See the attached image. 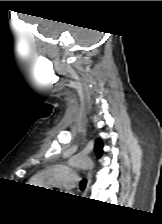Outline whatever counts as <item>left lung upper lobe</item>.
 <instances>
[{
    "mask_svg": "<svg viewBox=\"0 0 162 224\" xmlns=\"http://www.w3.org/2000/svg\"><path fill=\"white\" fill-rule=\"evenodd\" d=\"M103 143L101 139H97L96 140V144H95V152L97 154V157L100 158L103 152Z\"/></svg>",
    "mask_w": 162,
    "mask_h": 224,
    "instance_id": "obj_1",
    "label": "left lung upper lobe"
}]
</instances>
